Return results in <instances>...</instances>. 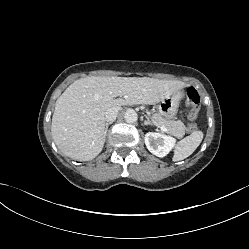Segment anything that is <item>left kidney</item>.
Here are the masks:
<instances>
[{"mask_svg": "<svg viewBox=\"0 0 249 249\" xmlns=\"http://www.w3.org/2000/svg\"><path fill=\"white\" fill-rule=\"evenodd\" d=\"M176 140L165 134L148 132L145 135L147 149L158 157H165L175 146Z\"/></svg>", "mask_w": 249, "mask_h": 249, "instance_id": "5707ae66", "label": "left kidney"}]
</instances>
